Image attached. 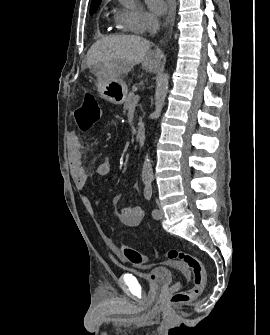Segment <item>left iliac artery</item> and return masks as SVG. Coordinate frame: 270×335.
<instances>
[{
    "mask_svg": "<svg viewBox=\"0 0 270 335\" xmlns=\"http://www.w3.org/2000/svg\"><path fill=\"white\" fill-rule=\"evenodd\" d=\"M144 196L147 200H150L152 197V186H151V182H146V186L144 189ZM158 215V210L157 209H153L152 210V216L155 218Z\"/></svg>",
    "mask_w": 270,
    "mask_h": 335,
    "instance_id": "44dca946",
    "label": "left iliac artery"
}]
</instances>
